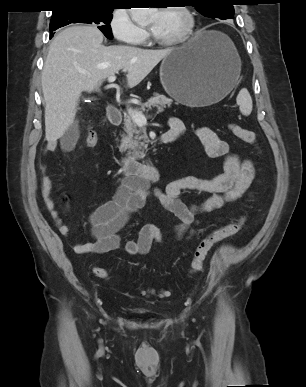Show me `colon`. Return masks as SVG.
<instances>
[{
	"instance_id": "1",
	"label": "colon",
	"mask_w": 306,
	"mask_h": 387,
	"mask_svg": "<svg viewBox=\"0 0 306 387\" xmlns=\"http://www.w3.org/2000/svg\"><path fill=\"white\" fill-rule=\"evenodd\" d=\"M228 129L233 136L247 144L256 143V135L253 131L246 129L236 123L228 124ZM85 143L87 147L94 148L98 145V136L92 132L86 136ZM245 217H240L230 223L225 224L213 230L208 236L204 237L197 244L193 258L190 264V271L194 274L199 273L203 269L204 261L211 246L226 237L236 234L244 225ZM93 272L96 276L107 279L109 274L106 269L95 267Z\"/></svg>"
}]
</instances>
